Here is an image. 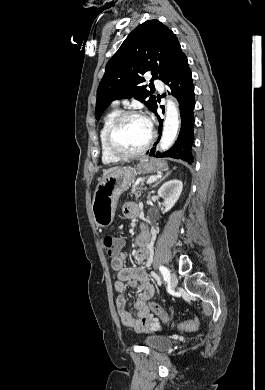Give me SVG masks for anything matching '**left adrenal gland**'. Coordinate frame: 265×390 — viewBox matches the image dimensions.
Segmentation results:
<instances>
[{
	"mask_svg": "<svg viewBox=\"0 0 265 390\" xmlns=\"http://www.w3.org/2000/svg\"><path fill=\"white\" fill-rule=\"evenodd\" d=\"M168 175H169V172H167L162 178H160V179L152 186V188L155 187V186H157V185H158L161 181H163Z\"/></svg>",
	"mask_w": 265,
	"mask_h": 390,
	"instance_id": "a2214340",
	"label": "left adrenal gland"
}]
</instances>
